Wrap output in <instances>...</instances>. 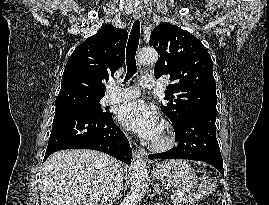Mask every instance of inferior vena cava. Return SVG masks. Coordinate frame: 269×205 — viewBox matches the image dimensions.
<instances>
[{
    "label": "inferior vena cava",
    "mask_w": 269,
    "mask_h": 205,
    "mask_svg": "<svg viewBox=\"0 0 269 205\" xmlns=\"http://www.w3.org/2000/svg\"><path fill=\"white\" fill-rule=\"evenodd\" d=\"M123 169L117 160H110L101 205H110L122 190Z\"/></svg>",
    "instance_id": "obj_1"
}]
</instances>
